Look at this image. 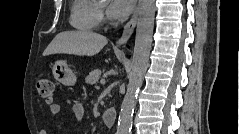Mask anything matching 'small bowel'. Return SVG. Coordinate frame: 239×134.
Listing matches in <instances>:
<instances>
[{"label":"small bowel","instance_id":"1","mask_svg":"<svg viewBox=\"0 0 239 134\" xmlns=\"http://www.w3.org/2000/svg\"><path fill=\"white\" fill-rule=\"evenodd\" d=\"M71 108H72L75 118L78 121L81 120L83 118L84 112H85L84 106L79 102H72ZM60 110H61V106L56 103L52 104L49 108L50 115H52V116L59 114ZM41 134H46V132L41 131Z\"/></svg>","mask_w":239,"mask_h":134}]
</instances>
